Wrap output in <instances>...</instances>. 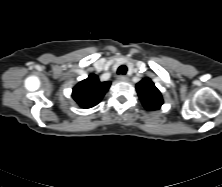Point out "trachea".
Returning a JSON list of instances; mask_svg holds the SVG:
<instances>
[{
	"mask_svg": "<svg viewBox=\"0 0 222 187\" xmlns=\"http://www.w3.org/2000/svg\"><path fill=\"white\" fill-rule=\"evenodd\" d=\"M126 72H127V67L125 65H121L117 70V73L121 75H125Z\"/></svg>",
	"mask_w": 222,
	"mask_h": 187,
	"instance_id": "1",
	"label": "trachea"
}]
</instances>
